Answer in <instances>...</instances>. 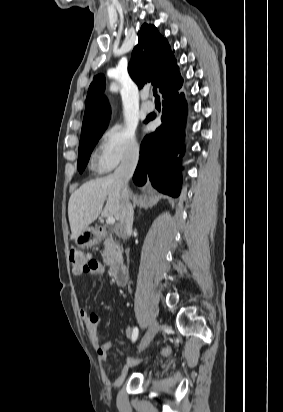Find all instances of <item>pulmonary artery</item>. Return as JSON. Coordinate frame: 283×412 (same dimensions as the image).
Segmentation results:
<instances>
[{
	"instance_id": "obj_1",
	"label": "pulmonary artery",
	"mask_w": 283,
	"mask_h": 412,
	"mask_svg": "<svg viewBox=\"0 0 283 412\" xmlns=\"http://www.w3.org/2000/svg\"><path fill=\"white\" fill-rule=\"evenodd\" d=\"M142 99H143V103L141 106L142 110L144 112H151L154 109V106L148 101V95L144 94L142 96Z\"/></svg>"
}]
</instances>
